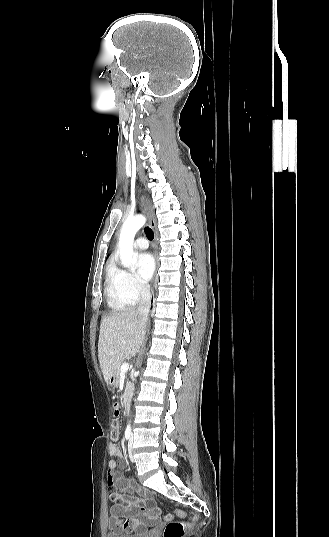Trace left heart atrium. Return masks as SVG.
I'll return each mask as SVG.
<instances>
[{
	"label": "left heart atrium",
	"instance_id": "1",
	"mask_svg": "<svg viewBox=\"0 0 329 537\" xmlns=\"http://www.w3.org/2000/svg\"><path fill=\"white\" fill-rule=\"evenodd\" d=\"M155 269L154 258L150 253H141L137 257V271L143 281H148Z\"/></svg>",
	"mask_w": 329,
	"mask_h": 537
}]
</instances>
